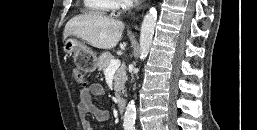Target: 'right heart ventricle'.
<instances>
[{
    "mask_svg": "<svg viewBox=\"0 0 257 130\" xmlns=\"http://www.w3.org/2000/svg\"><path fill=\"white\" fill-rule=\"evenodd\" d=\"M84 6L87 11L105 15L112 13L115 9L118 8V0H83Z\"/></svg>",
    "mask_w": 257,
    "mask_h": 130,
    "instance_id": "obj_1",
    "label": "right heart ventricle"
}]
</instances>
